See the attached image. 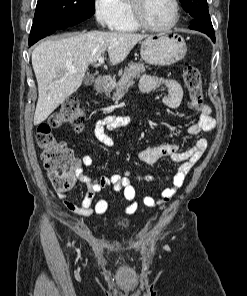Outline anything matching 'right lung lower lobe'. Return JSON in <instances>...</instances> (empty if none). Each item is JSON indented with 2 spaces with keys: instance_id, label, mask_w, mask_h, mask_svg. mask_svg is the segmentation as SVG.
Returning <instances> with one entry per match:
<instances>
[{
  "instance_id": "98d812e1",
  "label": "right lung lower lobe",
  "mask_w": 247,
  "mask_h": 296,
  "mask_svg": "<svg viewBox=\"0 0 247 296\" xmlns=\"http://www.w3.org/2000/svg\"><path fill=\"white\" fill-rule=\"evenodd\" d=\"M56 30H59V29H57L56 27H50V28H48V32H46L45 34L41 35L40 37H35L34 38V37H32L30 35V37H29V46H31L34 43H36L39 39H41V38H43V37H45L47 35H50V34L54 33Z\"/></svg>"
}]
</instances>
